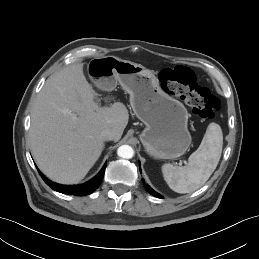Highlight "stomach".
<instances>
[{
  "label": "stomach",
  "mask_w": 259,
  "mask_h": 259,
  "mask_svg": "<svg viewBox=\"0 0 259 259\" xmlns=\"http://www.w3.org/2000/svg\"><path fill=\"white\" fill-rule=\"evenodd\" d=\"M87 69L101 89L113 90L119 83L129 93L135 115L146 126L140 140L151 157L175 159L187 151L192 141L187 109L162 90L153 71L114 56L94 58Z\"/></svg>",
  "instance_id": "1"
}]
</instances>
